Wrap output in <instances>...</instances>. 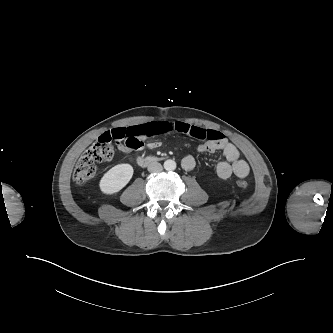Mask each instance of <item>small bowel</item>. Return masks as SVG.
<instances>
[{"instance_id":"small-bowel-1","label":"small bowel","mask_w":333,"mask_h":333,"mask_svg":"<svg viewBox=\"0 0 333 333\" xmlns=\"http://www.w3.org/2000/svg\"><path fill=\"white\" fill-rule=\"evenodd\" d=\"M167 133H182L205 140L197 147L199 153H213L221 151L225 161L218 163L216 171L221 179H229L232 175L238 178L248 176L250 168L246 161L240 157L238 149L230 143L225 136L216 130L205 129L199 126L183 122H150L130 127H119L103 133L100 138L114 141L118 149L124 153L133 150L155 149L161 145L159 140H146L157 135ZM196 165L192 155H186L182 159V166L185 170H192Z\"/></svg>"}]
</instances>
